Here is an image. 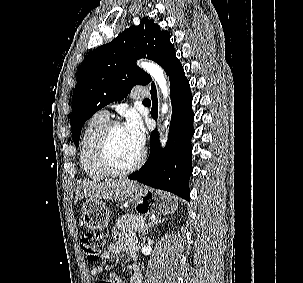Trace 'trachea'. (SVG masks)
<instances>
[{"instance_id":"obj_1","label":"trachea","mask_w":303,"mask_h":283,"mask_svg":"<svg viewBox=\"0 0 303 283\" xmlns=\"http://www.w3.org/2000/svg\"><path fill=\"white\" fill-rule=\"evenodd\" d=\"M146 102H150V100L149 99H144L143 103H146Z\"/></svg>"}]
</instances>
